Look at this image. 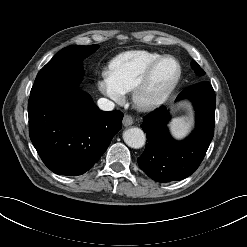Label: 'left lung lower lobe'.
I'll return each instance as SVG.
<instances>
[{
    "mask_svg": "<svg viewBox=\"0 0 247 247\" xmlns=\"http://www.w3.org/2000/svg\"><path fill=\"white\" fill-rule=\"evenodd\" d=\"M188 98L195 107L196 127L185 140L171 138L167 129L168 110L161 106L143 118L141 125L148 143L138 158L139 167L157 182L179 181L196 171L214 135L215 92L208 82L183 90L176 100Z\"/></svg>",
    "mask_w": 247,
    "mask_h": 247,
    "instance_id": "left-lung-lower-lobe-1",
    "label": "left lung lower lobe"
}]
</instances>
